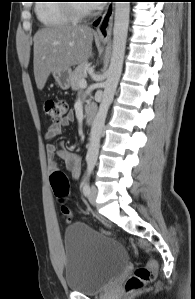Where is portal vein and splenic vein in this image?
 <instances>
[{
    "label": "portal vein and splenic vein",
    "mask_w": 195,
    "mask_h": 299,
    "mask_svg": "<svg viewBox=\"0 0 195 299\" xmlns=\"http://www.w3.org/2000/svg\"><path fill=\"white\" fill-rule=\"evenodd\" d=\"M79 86L80 88H85L87 87V81L85 79H82L80 82H79Z\"/></svg>",
    "instance_id": "1"
}]
</instances>
